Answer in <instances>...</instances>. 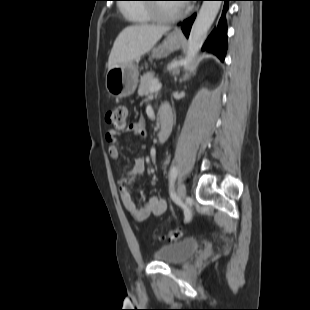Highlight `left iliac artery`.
<instances>
[{
    "instance_id": "1",
    "label": "left iliac artery",
    "mask_w": 310,
    "mask_h": 310,
    "mask_svg": "<svg viewBox=\"0 0 310 310\" xmlns=\"http://www.w3.org/2000/svg\"><path fill=\"white\" fill-rule=\"evenodd\" d=\"M178 174V170L177 167L175 165H172L170 168V172H169V177H170V197L172 198V200L174 201L175 204H177L179 207H181V209L183 210L184 213V222H189L192 219V212L189 209V207H187V205H185L180 199L179 197L176 196V194L173 191V184L176 180Z\"/></svg>"
}]
</instances>
